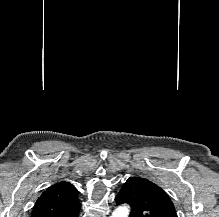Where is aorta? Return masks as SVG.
Instances as JSON below:
<instances>
[{"mask_svg":"<svg viewBox=\"0 0 219 217\" xmlns=\"http://www.w3.org/2000/svg\"><path fill=\"white\" fill-rule=\"evenodd\" d=\"M130 209L126 205H121L117 207L112 213L111 217H128Z\"/></svg>","mask_w":219,"mask_h":217,"instance_id":"obj_1","label":"aorta"}]
</instances>
